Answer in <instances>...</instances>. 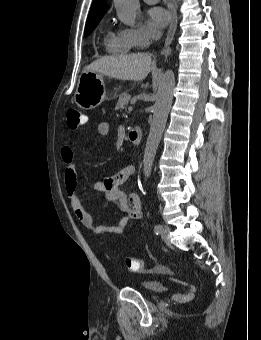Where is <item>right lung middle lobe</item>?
I'll return each instance as SVG.
<instances>
[{"label":"right lung middle lobe","instance_id":"right-lung-middle-lobe-1","mask_svg":"<svg viewBox=\"0 0 261 340\" xmlns=\"http://www.w3.org/2000/svg\"><path fill=\"white\" fill-rule=\"evenodd\" d=\"M100 20L101 19L95 20L93 22H90V23L86 24V27H85V37L88 36L95 29V27L98 25Z\"/></svg>","mask_w":261,"mask_h":340}]
</instances>
